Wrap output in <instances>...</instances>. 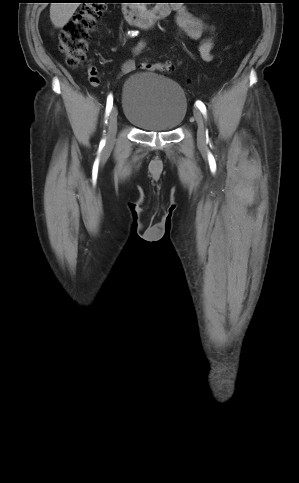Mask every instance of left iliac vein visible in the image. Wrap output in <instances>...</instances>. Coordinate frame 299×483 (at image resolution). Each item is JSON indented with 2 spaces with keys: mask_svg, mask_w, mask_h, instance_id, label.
Masks as SVG:
<instances>
[{
  "mask_svg": "<svg viewBox=\"0 0 299 483\" xmlns=\"http://www.w3.org/2000/svg\"><path fill=\"white\" fill-rule=\"evenodd\" d=\"M193 114L197 124V141L199 144H203L206 138L203 117L198 108L193 109Z\"/></svg>",
  "mask_w": 299,
  "mask_h": 483,
  "instance_id": "4c4485c4",
  "label": "left iliac vein"
}]
</instances>
